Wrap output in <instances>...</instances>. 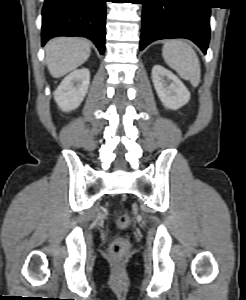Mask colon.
Wrapping results in <instances>:
<instances>
[{"label": "colon", "instance_id": "5ec220e1", "mask_svg": "<svg viewBox=\"0 0 246 300\" xmlns=\"http://www.w3.org/2000/svg\"><path fill=\"white\" fill-rule=\"evenodd\" d=\"M130 217L127 214L117 216V224L120 228L125 229L130 226ZM130 251V242L125 237L115 239L110 245V256L114 261L124 259Z\"/></svg>", "mask_w": 246, "mask_h": 300}]
</instances>
